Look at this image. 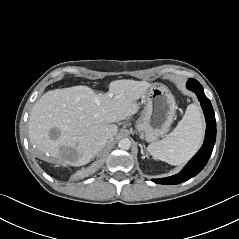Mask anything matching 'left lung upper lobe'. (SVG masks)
<instances>
[{
	"label": "left lung upper lobe",
	"mask_w": 239,
	"mask_h": 239,
	"mask_svg": "<svg viewBox=\"0 0 239 239\" xmlns=\"http://www.w3.org/2000/svg\"><path fill=\"white\" fill-rule=\"evenodd\" d=\"M192 80H195V79L190 78V79L188 80V82H189V81H192Z\"/></svg>",
	"instance_id": "1"
}]
</instances>
